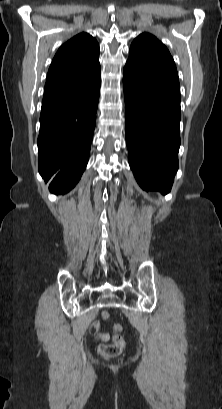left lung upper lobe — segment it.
Returning <instances> with one entry per match:
<instances>
[{
	"mask_svg": "<svg viewBox=\"0 0 222 409\" xmlns=\"http://www.w3.org/2000/svg\"><path fill=\"white\" fill-rule=\"evenodd\" d=\"M124 75L180 98L178 73L168 49L153 35L140 34L129 50Z\"/></svg>",
	"mask_w": 222,
	"mask_h": 409,
	"instance_id": "left-lung-upper-lobe-1",
	"label": "left lung upper lobe"
}]
</instances>
